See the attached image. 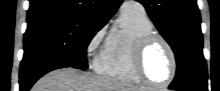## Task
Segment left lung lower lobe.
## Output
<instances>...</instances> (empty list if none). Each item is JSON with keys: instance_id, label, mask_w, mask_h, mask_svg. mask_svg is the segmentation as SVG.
<instances>
[{"instance_id": "0a47b994", "label": "left lung lower lobe", "mask_w": 220, "mask_h": 91, "mask_svg": "<svg viewBox=\"0 0 220 91\" xmlns=\"http://www.w3.org/2000/svg\"><path fill=\"white\" fill-rule=\"evenodd\" d=\"M169 89H172V87H169ZM172 90H175V89H172ZM181 90H185V91H207L206 90H193V89H187V88H182Z\"/></svg>"}]
</instances>
